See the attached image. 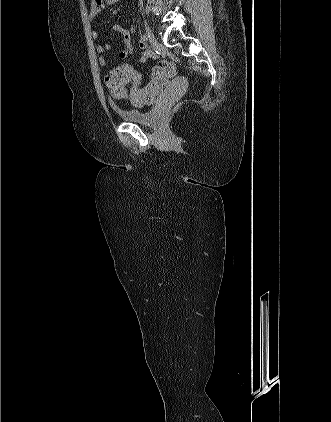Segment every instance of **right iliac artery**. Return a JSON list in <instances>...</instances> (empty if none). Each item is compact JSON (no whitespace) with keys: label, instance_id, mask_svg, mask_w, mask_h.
Listing matches in <instances>:
<instances>
[{"label":"right iliac artery","instance_id":"1","mask_svg":"<svg viewBox=\"0 0 331 422\" xmlns=\"http://www.w3.org/2000/svg\"><path fill=\"white\" fill-rule=\"evenodd\" d=\"M141 40L144 41V42L147 41V37H146L145 34L141 36Z\"/></svg>","mask_w":331,"mask_h":422}]
</instances>
